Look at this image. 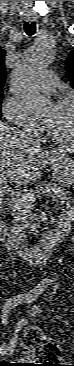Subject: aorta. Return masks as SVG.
Instances as JSON below:
<instances>
[{"instance_id":"aorta-1","label":"aorta","mask_w":74,"mask_h":366,"mask_svg":"<svg viewBox=\"0 0 74 366\" xmlns=\"http://www.w3.org/2000/svg\"><path fill=\"white\" fill-rule=\"evenodd\" d=\"M55 58V48L46 42H35L21 57L11 77L14 93L32 113L43 114L50 99L39 91L41 73L50 67Z\"/></svg>"}]
</instances>
